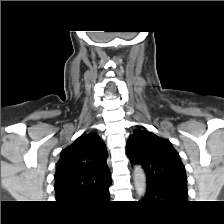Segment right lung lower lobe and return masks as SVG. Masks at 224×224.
Returning a JSON list of instances; mask_svg holds the SVG:
<instances>
[{
    "label": "right lung lower lobe",
    "instance_id": "1",
    "mask_svg": "<svg viewBox=\"0 0 224 224\" xmlns=\"http://www.w3.org/2000/svg\"><path fill=\"white\" fill-rule=\"evenodd\" d=\"M109 198H110V196H109V191L105 194V195H103L100 199H102V200H109Z\"/></svg>",
    "mask_w": 224,
    "mask_h": 224
}]
</instances>
